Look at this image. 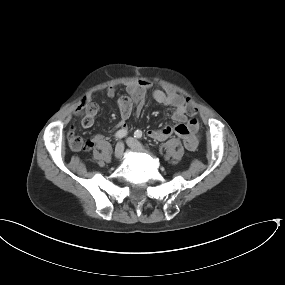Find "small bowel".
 <instances>
[{
  "label": "small bowel",
  "mask_w": 285,
  "mask_h": 285,
  "mask_svg": "<svg viewBox=\"0 0 285 285\" xmlns=\"http://www.w3.org/2000/svg\"><path fill=\"white\" fill-rule=\"evenodd\" d=\"M149 87L147 81L132 82L126 86V95L121 96L118 99V107L120 111V121L117 125L119 130L127 129V120L132 115L133 109L136 112H140L145 104V97ZM116 93L115 87L111 86L106 90V96L109 98L114 97ZM153 99L163 105H167L173 108V120L174 124L159 128L149 129L147 135L155 140H165L170 136H178L181 138L184 147L188 151H194L197 149L200 143V123L199 120L193 116H187V107L184 98L175 92H165L162 90H155L153 92ZM98 113V106L94 102H90L86 107L82 108L78 105L75 110V115H82V125L85 128H89L94 124L95 116ZM118 130V131H119ZM73 133V130H69V134ZM100 135H94L88 139V147L91 149L94 143L101 140ZM70 146L74 150H78L74 147L72 138H70Z\"/></svg>",
  "instance_id": "small-bowel-1"
}]
</instances>
